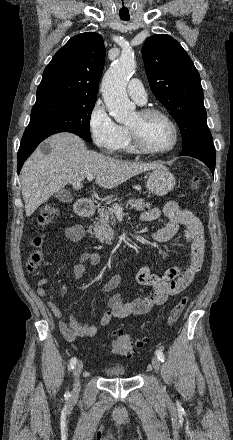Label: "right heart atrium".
I'll list each match as a JSON object with an SVG mask.
<instances>
[{
	"label": "right heart atrium",
	"mask_w": 233,
	"mask_h": 440,
	"mask_svg": "<svg viewBox=\"0 0 233 440\" xmlns=\"http://www.w3.org/2000/svg\"><path fill=\"white\" fill-rule=\"evenodd\" d=\"M88 127L96 147L105 154L119 151L124 138V127L114 121L104 104L97 101L92 107Z\"/></svg>",
	"instance_id": "obj_1"
}]
</instances>
